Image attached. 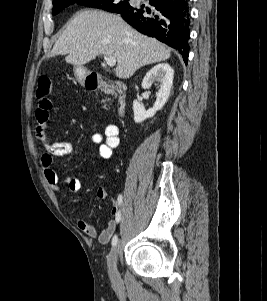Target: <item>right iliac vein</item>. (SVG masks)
Segmentation results:
<instances>
[{
    "label": "right iliac vein",
    "mask_w": 267,
    "mask_h": 301,
    "mask_svg": "<svg viewBox=\"0 0 267 301\" xmlns=\"http://www.w3.org/2000/svg\"><path fill=\"white\" fill-rule=\"evenodd\" d=\"M118 252H119V244H116L111 249V251L109 252L108 257H107L108 271H109L110 277L115 282L119 281V273H118V269H117Z\"/></svg>",
    "instance_id": "1"
}]
</instances>
